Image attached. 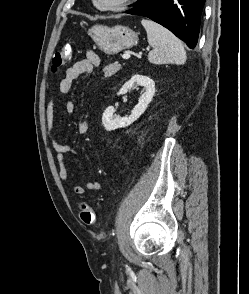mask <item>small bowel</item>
<instances>
[{
    "label": "small bowel",
    "instance_id": "1",
    "mask_svg": "<svg viewBox=\"0 0 249 294\" xmlns=\"http://www.w3.org/2000/svg\"><path fill=\"white\" fill-rule=\"evenodd\" d=\"M100 57L92 50L86 52L84 59L75 62L71 67L66 70L65 77L58 84L55 92L52 94L47 108H46V127L47 136L51 148L55 152L58 164L59 179L64 184L71 186V193L73 195H83L86 191H99L102 189V183L99 181H89L85 185H79L72 182L68 169L65 164L66 155L75 154L76 149L70 145L63 144L55 131V99L57 94L66 96L69 94L73 81L82 74H91L94 68L100 66ZM76 106L73 101H67L65 110L68 114L75 112ZM90 129L88 121L83 120L78 123V133L87 134Z\"/></svg>",
    "mask_w": 249,
    "mask_h": 294
}]
</instances>
